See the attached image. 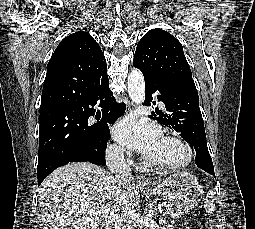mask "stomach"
<instances>
[{"mask_svg": "<svg viewBox=\"0 0 255 229\" xmlns=\"http://www.w3.org/2000/svg\"><path fill=\"white\" fill-rule=\"evenodd\" d=\"M148 190L165 200L166 213L173 218L194 209L203 195L197 178L186 171L174 172Z\"/></svg>", "mask_w": 255, "mask_h": 229, "instance_id": "stomach-1", "label": "stomach"}]
</instances>
